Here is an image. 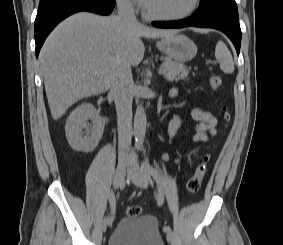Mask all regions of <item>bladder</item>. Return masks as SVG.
<instances>
[{
	"mask_svg": "<svg viewBox=\"0 0 283 245\" xmlns=\"http://www.w3.org/2000/svg\"><path fill=\"white\" fill-rule=\"evenodd\" d=\"M107 245H164L156 217L148 214L121 219Z\"/></svg>",
	"mask_w": 283,
	"mask_h": 245,
	"instance_id": "1",
	"label": "bladder"
}]
</instances>
